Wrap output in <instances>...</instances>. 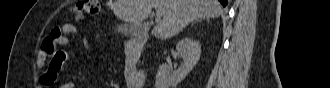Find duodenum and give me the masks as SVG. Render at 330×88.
Here are the masks:
<instances>
[{"mask_svg": "<svg viewBox=\"0 0 330 88\" xmlns=\"http://www.w3.org/2000/svg\"><path fill=\"white\" fill-rule=\"evenodd\" d=\"M145 42H146V37L143 34H139L126 44L128 65L130 66V69L128 70V74L131 75L130 84L132 85V87H138L140 84V77L136 70L135 57H136V53Z\"/></svg>", "mask_w": 330, "mask_h": 88, "instance_id": "obj_1", "label": "duodenum"}]
</instances>
